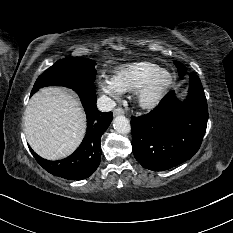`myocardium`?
Returning a JSON list of instances; mask_svg holds the SVG:
<instances>
[{"mask_svg": "<svg viewBox=\"0 0 233 233\" xmlns=\"http://www.w3.org/2000/svg\"><path fill=\"white\" fill-rule=\"evenodd\" d=\"M161 75H166V80L160 87L154 88L156 80ZM172 83V73L167 69L159 68L152 73L136 90V101L138 105L143 109H151L156 107L164 98Z\"/></svg>", "mask_w": 233, "mask_h": 233, "instance_id": "obj_1", "label": "myocardium"}]
</instances>
